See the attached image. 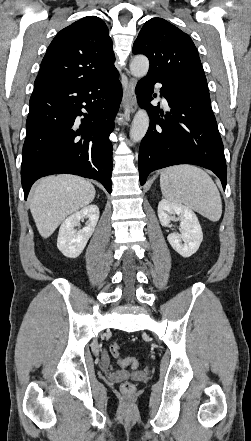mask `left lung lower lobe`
<instances>
[{
    "label": "left lung lower lobe",
    "instance_id": "obj_1",
    "mask_svg": "<svg viewBox=\"0 0 251 441\" xmlns=\"http://www.w3.org/2000/svg\"><path fill=\"white\" fill-rule=\"evenodd\" d=\"M156 82L162 84L161 93L171 108L167 115L159 106L150 104ZM135 93L138 103L150 115L149 129L139 149L141 185L154 170L194 164L212 170L225 189L224 147L208 89L191 82L147 75L137 83Z\"/></svg>",
    "mask_w": 251,
    "mask_h": 441
}]
</instances>
